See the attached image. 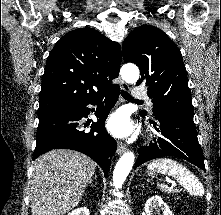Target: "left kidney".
Listing matches in <instances>:
<instances>
[{
  "mask_svg": "<svg viewBox=\"0 0 221 215\" xmlns=\"http://www.w3.org/2000/svg\"><path fill=\"white\" fill-rule=\"evenodd\" d=\"M144 209L147 215H152L153 209H161L163 211V215H174L167 204L158 195L149 198Z\"/></svg>",
  "mask_w": 221,
  "mask_h": 215,
  "instance_id": "left-kidney-1",
  "label": "left kidney"
}]
</instances>
